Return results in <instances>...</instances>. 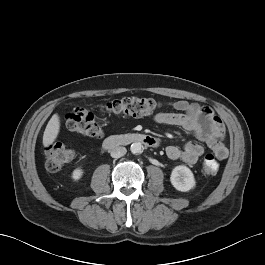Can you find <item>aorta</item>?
I'll use <instances>...</instances> for the list:
<instances>
[{
  "label": "aorta",
  "mask_w": 265,
  "mask_h": 265,
  "mask_svg": "<svg viewBox=\"0 0 265 265\" xmlns=\"http://www.w3.org/2000/svg\"><path fill=\"white\" fill-rule=\"evenodd\" d=\"M130 151L133 154H141L143 152V145L141 142H134L130 146Z\"/></svg>",
  "instance_id": "762f6f07"
}]
</instances>
